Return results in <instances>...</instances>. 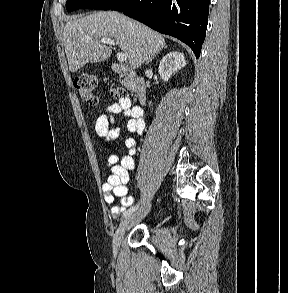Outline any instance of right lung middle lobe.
<instances>
[{
	"label": "right lung middle lobe",
	"mask_w": 288,
	"mask_h": 293,
	"mask_svg": "<svg viewBox=\"0 0 288 293\" xmlns=\"http://www.w3.org/2000/svg\"><path fill=\"white\" fill-rule=\"evenodd\" d=\"M121 1L122 0H68L66 2V9L69 12L84 8L108 10Z\"/></svg>",
	"instance_id": "1"
}]
</instances>
